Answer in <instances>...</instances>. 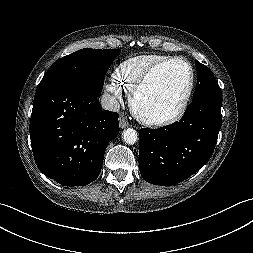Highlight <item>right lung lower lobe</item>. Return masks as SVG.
I'll list each match as a JSON object with an SVG mask.
<instances>
[{
  "mask_svg": "<svg viewBox=\"0 0 253 253\" xmlns=\"http://www.w3.org/2000/svg\"><path fill=\"white\" fill-rule=\"evenodd\" d=\"M101 91L66 80L36 90L30 120L33 155L40 171L59 184L94 181L109 141L119 133L118 114L100 106Z\"/></svg>",
  "mask_w": 253,
  "mask_h": 253,
  "instance_id": "right-lung-lower-lobe-1",
  "label": "right lung lower lobe"
}]
</instances>
